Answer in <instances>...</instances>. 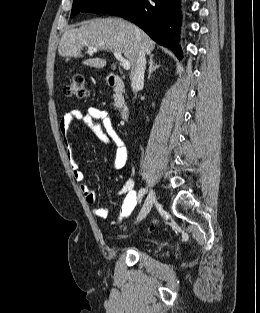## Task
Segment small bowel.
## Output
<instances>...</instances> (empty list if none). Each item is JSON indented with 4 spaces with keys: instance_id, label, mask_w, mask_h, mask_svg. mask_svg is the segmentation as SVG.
Instances as JSON below:
<instances>
[{
    "instance_id": "1",
    "label": "small bowel",
    "mask_w": 260,
    "mask_h": 313,
    "mask_svg": "<svg viewBox=\"0 0 260 313\" xmlns=\"http://www.w3.org/2000/svg\"><path fill=\"white\" fill-rule=\"evenodd\" d=\"M81 120L86 123L92 130H94L99 137L105 142H113L117 149L115 153L114 163L112 169L114 171L122 169L127 161L128 152L125 146L124 140L116 130L113 120L109 112L101 110L95 107H90L83 112L79 109H72L68 111L60 121V130L64 143L67 147V157L69 165L72 171L73 178L78 182L79 189L84 195L86 202L91 206L94 215L100 219L108 216V209L97 205L96 195L92 189L85 184L84 173L81 170L79 164L73 157V153L70 147V130L73 122ZM134 187L133 179H127L122 186L117 190V194L124 195L121 213L118 218V222L126 219L133 211L139 198L132 190ZM115 225L116 222H113Z\"/></svg>"
}]
</instances>
